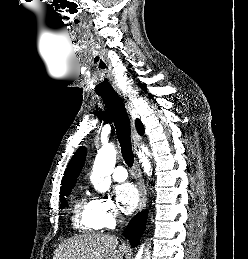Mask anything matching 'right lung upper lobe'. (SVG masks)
I'll return each mask as SVG.
<instances>
[{"mask_svg":"<svg viewBox=\"0 0 248 259\" xmlns=\"http://www.w3.org/2000/svg\"><path fill=\"white\" fill-rule=\"evenodd\" d=\"M136 128L140 135L144 133L143 124L139 120H136ZM85 157L86 149L84 147H80L73 155L72 159L70 160L67 166V169L61 182V192L72 189L74 187L76 179L84 165Z\"/></svg>","mask_w":248,"mask_h":259,"instance_id":"obj_1","label":"right lung upper lobe"}]
</instances>
